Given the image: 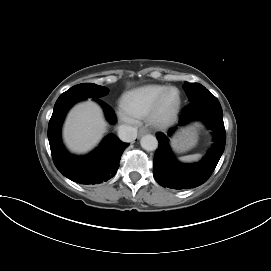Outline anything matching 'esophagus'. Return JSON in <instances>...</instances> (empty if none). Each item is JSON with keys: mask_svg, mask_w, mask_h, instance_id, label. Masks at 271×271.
Returning a JSON list of instances; mask_svg holds the SVG:
<instances>
[{"mask_svg": "<svg viewBox=\"0 0 271 271\" xmlns=\"http://www.w3.org/2000/svg\"><path fill=\"white\" fill-rule=\"evenodd\" d=\"M148 133V129L146 128H140L139 129V135H144V134H147Z\"/></svg>", "mask_w": 271, "mask_h": 271, "instance_id": "obj_1", "label": "esophagus"}]
</instances>
